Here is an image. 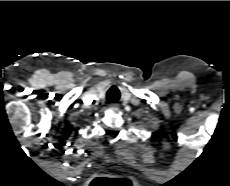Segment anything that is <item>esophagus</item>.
<instances>
[{
    "label": "esophagus",
    "mask_w": 230,
    "mask_h": 186,
    "mask_svg": "<svg viewBox=\"0 0 230 186\" xmlns=\"http://www.w3.org/2000/svg\"><path fill=\"white\" fill-rule=\"evenodd\" d=\"M118 109H119L118 104L113 103V104H111V105H110V110H113V111H118Z\"/></svg>",
    "instance_id": "esophagus-1"
}]
</instances>
